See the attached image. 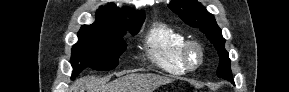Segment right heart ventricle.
I'll list each match as a JSON object with an SVG mask.
<instances>
[{
	"label": "right heart ventricle",
	"mask_w": 289,
	"mask_h": 92,
	"mask_svg": "<svg viewBox=\"0 0 289 92\" xmlns=\"http://www.w3.org/2000/svg\"><path fill=\"white\" fill-rule=\"evenodd\" d=\"M186 41L185 35L179 30L164 23H156L145 37L146 56L163 71L182 75L186 72L181 57Z\"/></svg>",
	"instance_id": "right-heart-ventricle-1"
}]
</instances>
